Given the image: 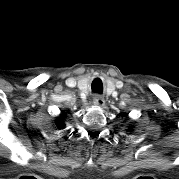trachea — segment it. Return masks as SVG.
Masks as SVG:
<instances>
[{"label": "trachea", "mask_w": 179, "mask_h": 179, "mask_svg": "<svg viewBox=\"0 0 179 179\" xmlns=\"http://www.w3.org/2000/svg\"><path fill=\"white\" fill-rule=\"evenodd\" d=\"M92 91L95 93H99L101 94L103 91V84L102 81L99 78H96L93 82H92Z\"/></svg>", "instance_id": "obj_1"}]
</instances>
